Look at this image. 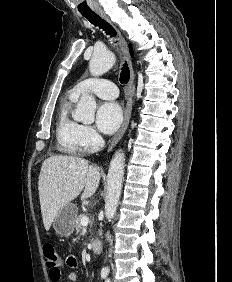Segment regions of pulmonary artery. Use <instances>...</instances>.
<instances>
[{"instance_id": "e3ab8cb5", "label": "pulmonary artery", "mask_w": 232, "mask_h": 282, "mask_svg": "<svg viewBox=\"0 0 232 282\" xmlns=\"http://www.w3.org/2000/svg\"><path fill=\"white\" fill-rule=\"evenodd\" d=\"M93 93L94 95L102 99H115L118 96L117 86L105 79H86L75 85L70 94L78 98L82 94Z\"/></svg>"}]
</instances>
